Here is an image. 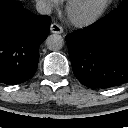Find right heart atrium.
I'll return each mask as SVG.
<instances>
[{
  "instance_id": "obj_1",
  "label": "right heart atrium",
  "mask_w": 128,
  "mask_h": 128,
  "mask_svg": "<svg viewBox=\"0 0 128 128\" xmlns=\"http://www.w3.org/2000/svg\"><path fill=\"white\" fill-rule=\"evenodd\" d=\"M46 8L52 9L57 8L61 1L60 0H38Z\"/></svg>"
}]
</instances>
